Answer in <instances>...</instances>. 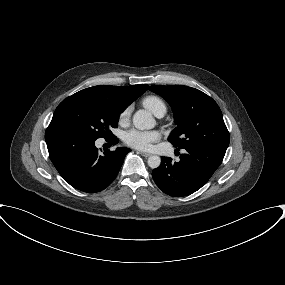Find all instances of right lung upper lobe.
Masks as SVG:
<instances>
[{"label": "right lung upper lobe", "instance_id": "right-lung-upper-lobe-1", "mask_svg": "<svg viewBox=\"0 0 285 285\" xmlns=\"http://www.w3.org/2000/svg\"><path fill=\"white\" fill-rule=\"evenodd\" d=\"M148 88L147 84L135 86H109L99 85L83 89L72 96L90 97L107 100L121 108H127L134 100L142 95Z\"/></svg>", "mask_w": 285, "mask_h": 285}]
</instances>
